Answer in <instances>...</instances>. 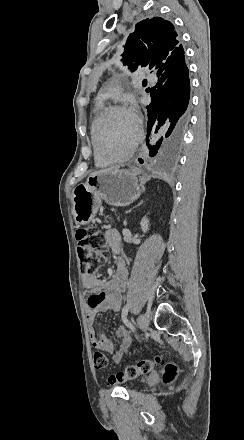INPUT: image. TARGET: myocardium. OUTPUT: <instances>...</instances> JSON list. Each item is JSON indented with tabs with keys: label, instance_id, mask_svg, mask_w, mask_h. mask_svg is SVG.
I'll return each mask as SVG.
<instances>
[{
	"label": "myocardium",
	"instance_id": "myocardium-1",
	"mask_svg": "<svg viewBox=\"0 0 244 440\" xmlns=\"http://www.w3.org/2000/svg\"><path fill=\"white\" fill-rule=\"evenodd\" d=\"M116 110H123L126 111V108L122 105H112L107 107L104 112H103V117H102V122H99V124L97 125V130L100 132H98L95 137V140L98 141L95 143V151H98L99 154H105L107 151L103 148L104 143L102 142L103 140V136L105 135L104 133L107 131L104 126L105 124H109V119H110V115L112 114V112L116 111ZM102 132V133H101ZM100 136V137H99ZM102 136V137H101ZM127 143H130V141H127ZM122 146V145H120ZM120 146H115L114 148H118ZM117 151L114 149L112 152H110L109 154H107L106 156H104V158L107 159H114V154ZM127 156H121L120 158H117V161L119 162H123L127 159Z\"/></svg>",
	"mask_w": 244,
	"mask_h": 440
}]
</instances>
